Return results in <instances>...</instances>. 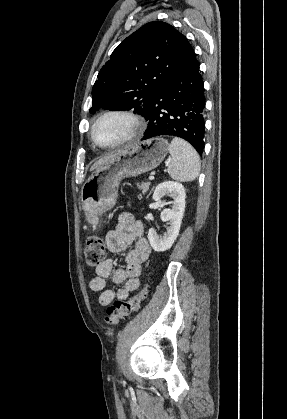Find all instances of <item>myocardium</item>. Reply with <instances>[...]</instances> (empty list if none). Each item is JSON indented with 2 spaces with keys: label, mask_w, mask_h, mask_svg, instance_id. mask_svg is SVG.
<instances>
[{
  "label": "myocardium",
  "mask_w": 287,
  "mask_h": 419,
  "mask_svg": "<svg viewBox=\"0 0 287 419\" xmlns=\"http://www.w3.org/2000/svg\"><path fill=\"white\" fill-rule=\"evenodd\" d=\"M110 116H119V117H123L125 119H127L132 126V132L125 137L124 139L112 143V144H102L100 142H98L95 138V128L98 125L99 122H101L103 119L110 117ZM144 131V122L141 119L140 116H138L136 113H134L133 111L127 110V109H121V108H115V109H110V110H106L103 113H101L93 122L91 129H90V137L92 142L102 148V149H113V148H117L123 145H126L134 140H136Z\"/></svg>",
  "instance_id": "obj_1"
}]
</instances>
